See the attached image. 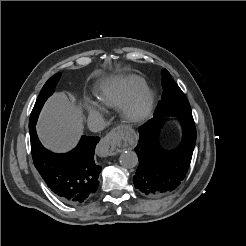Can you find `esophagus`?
<instances>
[{"label": "esophagus", "instance_id": "esophagus-1", "mask_svg": "<svg viewBox=\"0 0 246 246\" xmlns=\"http://www.w3.org/2000/svg\"><path fill=\"white\" fill-rule=\"evenodd\" d=\"M121 134L119 128L113 129L109 134L103 137L97 147V153L102 157L113 156L119 152L117 141Z\"/></svg>", "mask_w": 246, "mask_h": 246}]
</instances>
